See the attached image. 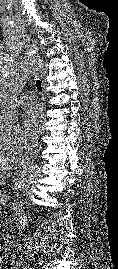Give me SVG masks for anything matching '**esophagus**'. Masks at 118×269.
<instances>
[{
	"instance_id": "1",
	"label": "esophagus",
	"mask_w": 118,
	"mask_h": 269,
	"mask_svg": "<svg viewBox=\"0 0 118 269\" xmlns=\"http://www.w3.org/2000/svg\"><path fill=\"white\" fill-rule=\"evenodd\" d=\"M39 75L42 78L43 72L41 69H39ZM44 87V86H43ZM41 149V146L36 147L35 149H32L31 151L26 152L20 159L22 163H28L30 161H33L37 155L39 154V151Z\"/></svg>"
}]
</instances>
